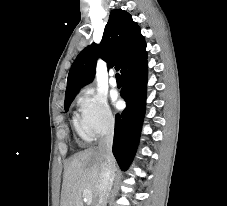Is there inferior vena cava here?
I'll list each match as a JSON object with an SVG mask.
<instances>
[{"mask_svg": "<svg viewBox=\"0 0 227 206\" xmlns=\"http://www.w3.org/2000/svg\"><path fill=\"white\" fill-rule=\"evenodd\" d=\"M113 135L114 121H110L98 145L103 161L97 183L98 200L96 206H106L115 177V159L112 154Z\"/></svg>", "mask_w": 227, "mask_h": 206, "instance_id": "inferior-vena-cava-1", "label": "inferior vena cava"}]
</instances>
